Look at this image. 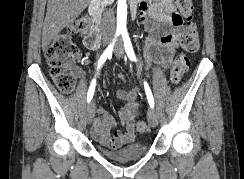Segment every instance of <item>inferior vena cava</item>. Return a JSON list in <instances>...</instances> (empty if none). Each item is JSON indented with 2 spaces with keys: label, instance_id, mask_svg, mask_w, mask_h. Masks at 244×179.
I'll list each match as a JSON object with an SVG mask.
<instances>
[{
  "label": "inferior vena cava",
  "instance_id": "obj_1",
  "mask_svg": "<svg viewBox=\"0 0 244 179\" xmlns=\"http://www.w3.org/2000/svg\"><path fill=\"white\" fill-rule=\"evenodd\" d=\"M103 34H110V32H115V18L113 12H108L107 20L104 22Z\"/></svg>",
  "mask_w": 244,
  "mask_h": 179
}]
</instances>
